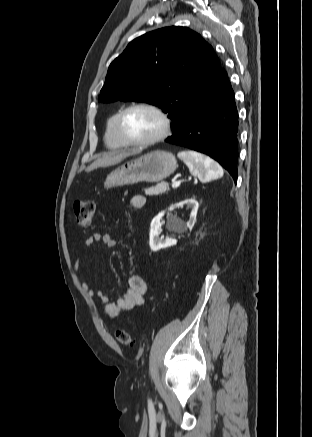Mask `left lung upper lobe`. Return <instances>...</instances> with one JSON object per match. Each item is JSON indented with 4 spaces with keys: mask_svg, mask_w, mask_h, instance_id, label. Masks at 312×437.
I'll return each mask as SVG.
<instances>
[{
    "mask_svg": "<svg viewBox=\"0 0 312 437\" xmlns=\"http://www.w3.org/2000/svg\"><path fill=\"white\" fill-rule=\"evenodd\" d=\"M221 69L213 48L186 27H165L128 44L109 66L99 102H146L180 123Z\"/></svg>",
    "mask_w": 312,
    "mask_h": 437,
    "instance_id": "1",
    "label": "left lung upper lobe"
}]
</instances>
